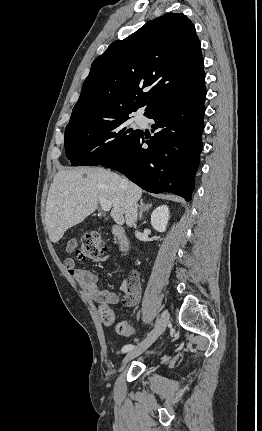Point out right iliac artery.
<instances>
[{"instance_id":"obj_1","label":"right iliac artery","mask_w":262,"mask_h":431,"mask_svg":"<svg viewBox=\"0 0 262 431\" xmlns=\"http://www.w3.org/2000/svg\"><path fill=\"white\" fill-rule=\"evenodd\" d=\"M133 348H134V345H132V344L125 345V346L122 348V353L128 352V351H130V350H131V349H133Z\"/></svg>"}]
</instances>
